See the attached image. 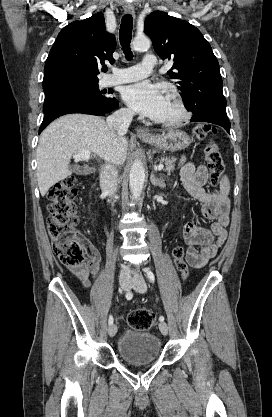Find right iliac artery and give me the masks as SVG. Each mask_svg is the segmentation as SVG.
<instances>
[{
	"label": "right iliac artery",
	"instance_id": "obj_1",
	"mask_svg": "<svg viewBox=\"0 0 272 417\" xmlns=\"http://www.w3.org/2000/svg\"><path fill=\"white\" fill-rule=\"evenodd\" d=\"M132 297H133V294H132L131 291H129V292L126 293V299L127 300L132 299ZM108 323H109V325H111L113 323V317H112V315L109 316Z\"/></svg>",
	"mask_w": 272,
	"mask_h": 417
}]
</instances>
